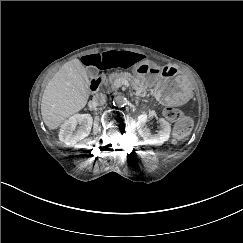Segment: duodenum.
I'll list each match as a JSON object with an SVG mask.
<instances>
[{"instance_id":"duodenum-1","label":"duodenum","mask_w":243,"mask_h":243,"mask_svg":"<svg viewBox=\"0 0 243 243\" xmlns=\"http://www.w3.org/2000/svg\"><path fill=\"white\" fill-rule=\"evenodd\" d=\"M100 80H101V78L99 76L92 78V80L90 81V85H89V88L91 91L97 90Z\"/></svg>"}]
</instances>
